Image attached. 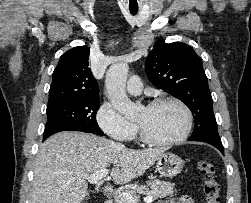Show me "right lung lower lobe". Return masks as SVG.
<instances>
[{
    "label": "right lung lower lobe",
    "mask_w": 251,
    "mask_h": 203,
    "mask_svg": "<svg viewBox=\"0 0 251 203\" xmlns=\"http://www.w3.org/2000/svg\"><path fill=\"white\" fill-rule=\"evenodd\" d=\"M49 136H51V135L43 136V141H44L45 139H47Z\"/></svg>",
    "instance_id": "1"
}]
</instances>
